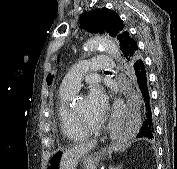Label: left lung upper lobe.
<instances>
[{
	"mask_svg": "<svg viewBox=\"0 0 177 169\" xmlns=\"http://www.w3.org/2000/svg\"><path fill=\"white\" fill-rule=\"evenodd\" d=\"M80 20L82 27H86L90 32L108 33L111 37H115L120 44L123 56L129 64L133 63L136 59L141 58L139 51H137L134 58L128 59L130 45L136 41L131 38L123 21L116 12L107 8H101L81 14Z\"/></svg>",
	"mask_w": 177,
	"mask_h": 169,
	"instance_id": "left-lung-upper-lobe-1",
	"label": "left lung upper lobe"
}]
</instances>
